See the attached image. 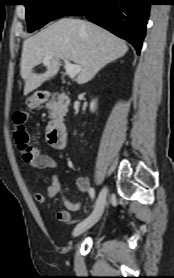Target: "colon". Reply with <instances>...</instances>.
Masks as SVG:
<instances>
[{"mask_svg":"<svg viewBox=\"0 0 174 278\" xmlns=\"http://www.w3.org/2000/svg\"><path fill=\"white\" fill-rule=\"evenodd\" d=\"M13 118L17 126L15 132L16 144L22 153L23 160L27 163L31 162L38 156L39 151L37 148L30 145V136L25 127L28 120V114L26 111L20 110L14 114Z\"/></svg>","mask_w":174,"mask_h":278,"instance_id":"obj_1","label":"colon"}]
</instances>
